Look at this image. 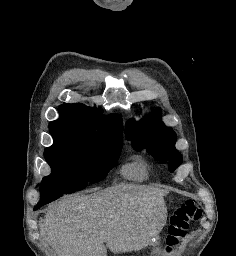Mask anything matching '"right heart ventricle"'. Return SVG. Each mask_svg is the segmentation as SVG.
Returning a JSON list of instances; mask_svg holds the SVG:
<instances>
[{
	"label": "right heart ventricle",
	"instance_id": "e07e8e85",
	"mask_svg": "<svg viewBox=\"0 0 236 256\" xmlns=\"http://www.w3.org/2000/svg\"><path fill=\"white\" fill-rule=\"evenodd\" d=\"M121 173L124 178L135 182L145 181L150 176L149 165L141 158H137L124 165Z\"/></svg>",
	"mask_w": 236,
	"mask_h": 256
}]
</instances>
